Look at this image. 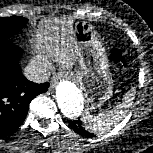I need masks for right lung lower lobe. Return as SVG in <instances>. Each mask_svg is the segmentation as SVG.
<instances>
[{
  "mask_svg": "<svg viewBox=\"0 0 153 153\" xmlns=\"http://www.w3.org/2000/svg\"><path fill=\"white\" fill-rule=\"evenodd\" d=\"M22 50L8 40H0V139L13 133L25 120L29 104L48 90L49 84H36L21 73Z\"/></svg>",
  "mask_w": 153,
  "mask_h": 153,
  "instance_id": "98d812e1",
  "label": "right lung lower lobe"
}]
</instances>
